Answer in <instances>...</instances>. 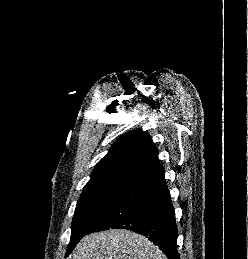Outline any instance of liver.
<instances>
[{
  "label": "liver",
  "instance_id": "liver-1",
  "mask_svg": "<svg viewBox=\"0 0 248 259\" xmlns=\"http://www.w3.org/2000/svg\"><path fill=\"white\" fill-rule=\"evenodd\" d=\"M70 259H167L163 252L142 235L113 229L86 235Z\"/></svg>",
  "mask_w": 248,
  "mask_h": 259
}]
</instances>
